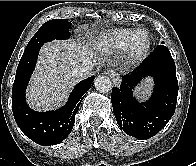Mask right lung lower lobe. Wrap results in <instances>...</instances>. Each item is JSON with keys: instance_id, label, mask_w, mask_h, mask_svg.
<instances>
[{"instance_id": "right-lung-lower-lobe-1", "label": "right lung lower lobe", "mask_w": 196, "mask_h": 166, "mask_svg": "<svg viewBox=\"0 0 196 166\" xmlns=\"http://www.w3.org/2000/svg\"><path fill=\"white\" fill-rule=\"evenodd\" d=\"M40 48L41 46L26 49L20 59L12 89V110L17 125L27 137L39 145L50 146L62 142L70 134L83 95L93 84L95 77L78 83L62 108L48 112L33 111L26 104L25 90Z\"/></svg>"}]
</instances>
